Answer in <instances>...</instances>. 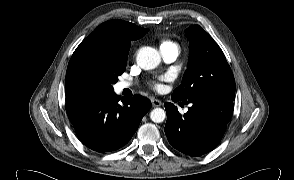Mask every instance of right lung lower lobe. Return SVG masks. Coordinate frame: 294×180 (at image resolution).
<instances>
[{"label": "right lung lower lobe", "instance_id": "obj_1", "mask_svg": "<svg viewBox=\"0 0 294 180\" xmlns=\"http://www.w3.org/2000/svg\"><path fill=\"white\" fill-rule=\"evenodd\" d=\"M121 101L115 92L67 99V115L84 145L103 153L129 142L151 102L140 95Z\"/></svg>", "mask_w": 294, "mask_h": 180}]
</instances>
